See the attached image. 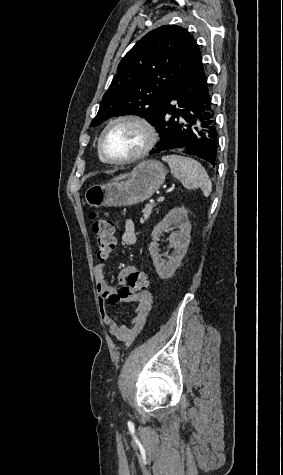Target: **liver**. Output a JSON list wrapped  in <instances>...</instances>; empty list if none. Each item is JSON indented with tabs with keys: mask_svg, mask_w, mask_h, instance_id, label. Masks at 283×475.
<instances>
[{
	"mask_svg": "<svg viewBox=\"0 0 283 475\" xmlns=\"http://www.w3.org/2000/svg\"><path fill=\"white\" fill-rule=\"evenodd\" d=\"M128 174H120V176H117V178H113V180H115V182H118V180H124V178H127ZM113 180H111V182H113Z\"/></svg>",
	"mask_w": 283,
	"mask_h": 475,
	"instance_id": "1",
	"label": "liver"
}]
</instances>
